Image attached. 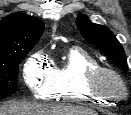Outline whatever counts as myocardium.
I'll use <instances>...</instances> for the list:
<instances>
[{
    "label": "myocardium",
    "mask_w": 131,
    "mask_h": 115,
    "mask_svg": "<svg viewBox=\"0 0 131 115\" xmlns=\"http://www.w3.org/2000/svg\"><path fill=\"white\" fill-rule=\"evenodd\" d=\"M105 77L113 79L118 85V90L106 89L103 85ZM84 85L89 92L108 99H119L127 94V88L122 77L115 70L100 65L87 71Z\"/></svg>",
    "instance_id": "obj_1"
}]
</instances>
